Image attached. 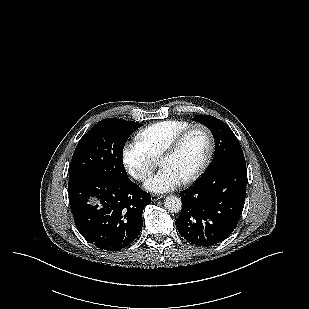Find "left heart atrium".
Masks as SVG:
<instances>
[{"label": "left heart atrium", "mask_w": 309, "mask_h": 309, "mask_svg": "<svg viewBox=\"0 0 309 309\" xmlns=\"http://www.w3.org/2000/svg\"><path fill=\"white\" fill-rule=\"evenodd\" d=\"M180 184L181 179L173 171L162 168L145 183V188L155 193H165L175 189Z\"/></svg>", "instance_id": "39dd6f15"}]
</instances>
